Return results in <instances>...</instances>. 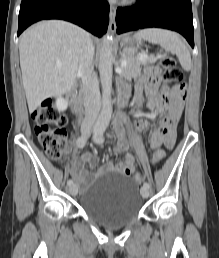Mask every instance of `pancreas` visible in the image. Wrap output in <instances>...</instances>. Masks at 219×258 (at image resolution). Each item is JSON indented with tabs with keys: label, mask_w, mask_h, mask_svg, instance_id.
Returning a JSON list of instances; mask_svg holds the SVG:
<instances>
[{
	"label": "pancreas",
	"mask_w": 219,
	"mask_h": 258,
	"mask_svg": "<svg viewBox=\"0 0 219 258\" xmlns=\"http://www.w3.org/2000/svg\"><path fill=\"white\" fill-rule=\"evenodd\" d=\"M127 62V65L123 68L124 77L126 79L137 78L141 74V66L147 65L149 63H155L157 61L156 57H151L146 60H141L136 57L123 56L122 58Z\"/></svg>",
	"instance_id": "cf45deb5"
}]
</instances>
